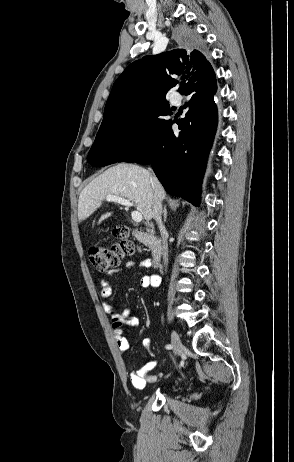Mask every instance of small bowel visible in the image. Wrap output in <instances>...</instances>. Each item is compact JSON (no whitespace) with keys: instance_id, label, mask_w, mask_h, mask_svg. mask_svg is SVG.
Wrapping results in <instances>:
<instances>
[{"instance_id":"1","label":"small bowel","mask_w":294,"mask_h":462,"mask_svg":"<svg viewBox=\"0 0 294 462\" xmlns=\"http://www.w3.org/2000/svg\"><path fill=\"white\" fill-rule=\"evenodd\" d=\"M136 266L135 262L130 261L126 264L125 268L127 270H132ZM141 267L150 268L153 266V263L150 259H146L140 263ZM120 271L119 269L113 270L108 273V275H113ZM161 284V277L157 274L146 275L141 279V285L143 287H158ZM113 293L112 283L104 278L101 280V296L104 298L111 297ZM104 310L110 314L111 320H118L121 324L125 323L130 326L136 327L139 324V319L137 317L131 316L129 308H124L120 312H115L114 305L111 301H105L103 303ZM114 336L116 339L117 346L123 354H127L130 344L128 339L124 336V330L122 326L114 327ZM144 349L148 351L151 356H154L151 348L150 339H144L142 342ZM157 366V360L151 359L146 362L140 369L130 373V381L132 385L137 389H142L146 386L147 383L155 382L158 378L157 375H153L152 371Z\"/></svg>"}]
</instances>
